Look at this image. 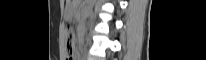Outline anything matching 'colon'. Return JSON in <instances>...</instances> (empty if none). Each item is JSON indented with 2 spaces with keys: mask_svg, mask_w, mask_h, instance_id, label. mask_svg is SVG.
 Returning <instances> with one entry per match:
<instances>
[{
  "mask_svg": "<svg viewBox=\"0 0 206 60\" xmlns=\"http://www.w3.org/2000/svg\"><path fill=\"white\" fill-rule=\"evenodd\" d=\"M66 45H67V60H73L75 35L71 25L66 27L65 31Z\"/></svg>",
  "mask_w": 206,
  "mask_h": 60,
  "instance_id": "5ec220e1",
  "label": "colon"
}]
</instances>
